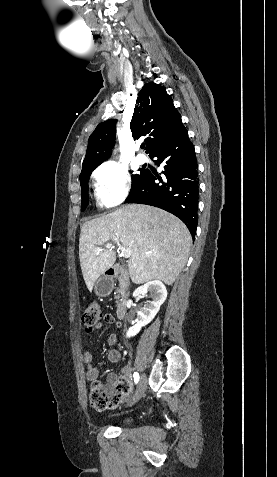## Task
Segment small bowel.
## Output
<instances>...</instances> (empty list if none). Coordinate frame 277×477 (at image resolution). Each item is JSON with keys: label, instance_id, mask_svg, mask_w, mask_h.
<instances>
[{"label": "small bowel", "instance_id": "small-bowel-1", "mask_svg": "<svg viewBox=\"0 0 277 477\" xmlns=\"http://www.w3.org/2000/svg\"><path fill=\"white\" fill-rule=\"evenodd\" d=\"M104 321L105 323L108 324H115L116 328H121L122 323L119 321H116L115 317L112 314H106L104 316ZM103 327L102 323H98L95 329H100ZM118 340V337L115 333H110L107 336V342L110 345L116 344ZM121 359V352L117 349H111L108 352L107 358L105 360H102L98 363L94 362L93 354L90 351H86L83 354V362L86 365V379L90 382L96 381L97 378L99 377L100 373V368L108 363H117ZM128 376V369L124 368L123 369V377L121 379H118L115 374H110L108 379L109 383H117L120 381L126 382V378Z\"/></svg>", "mask_w": 277, "mask_h": 477}]
</instances>
